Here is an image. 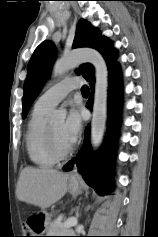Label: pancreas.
Returning <instances> with one entry per match:
<instances>
[{
	"mask_svg": "<svg viewBox=\"0 0 158 237\" xmlns=\"http://www.w3.org/2000/svg\"><path fill=\"white\" fill-rule=\"evenodd\" d=\"M62 222L55 220L46 224V233L48 236H64L67 233H73L74 231L70 228H64Z\"/></svg>",
	"mask_w": 158,
	"mask_h": 237,
	"instance_id": "cf45deb5",
	"label": "pancreas"
}]
</instances>
